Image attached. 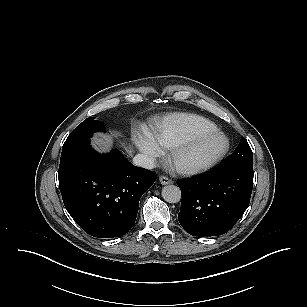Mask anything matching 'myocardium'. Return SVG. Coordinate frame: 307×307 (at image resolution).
<instances>
[{
  "label": "myocardium",
  "instance_id": "1",
  "mask_svg": "<svg viewBox=\"0 0 307 307\" xmlns=\"http://www.w3.org/2000/svg\"><path fill=\"white\" fill-rule=\"evenodd\" d=\"M212 139H220L221 147L214 153L194 160L186 159L189 154L194 152L201 144ZM231 147V142L227 134L221 130L200 133L192 136L186 141L170 148L168 159L173 169L186 176L203 173L221 162L227 155Z\"/></svg>",
  "mask_w": 307,
  "mask_h": 307
}]
</instances>
